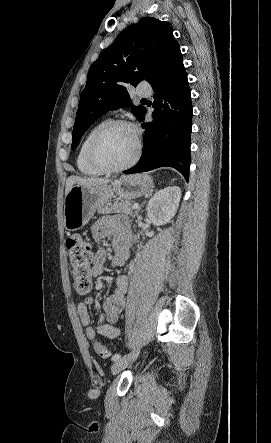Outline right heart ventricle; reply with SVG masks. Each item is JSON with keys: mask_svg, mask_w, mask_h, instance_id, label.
Returning a JSON list of instances; mask_svg holds the SVG:
<instances>
[{"mask_svg": "<svg viewBox=\"0 0 271 443\" xmlns=\"http://www.w3.org/2000/svg\"><path fill=\"white\" fill-rule=\"evenodd\" d=\"M107 122V120H101L97 122L95 125H93L88 132L83 137L75 158V163L77 169L84 175L90 176V177H97L102 174L100 170L95 168L88 160L87 157V149L89 146L90 141L96 134V132Z\"/></svg>", "mask_w": 271, "mask_h": 443, "instance_id": "e07e8e85", "label": "right heart ventricle"}]
</instances>
